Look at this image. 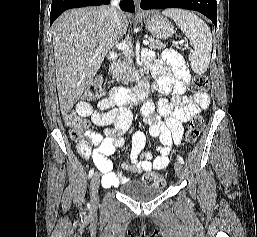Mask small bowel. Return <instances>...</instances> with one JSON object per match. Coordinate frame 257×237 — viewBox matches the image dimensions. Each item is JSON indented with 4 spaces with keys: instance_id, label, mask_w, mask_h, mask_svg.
Here are the masks:
<instances>
[{
    "instance_id": "small-bowel-1",
    "label": "small bowel",
    "mask_w": 257,
    "mask_h": 237,
    "mask_svg": "<svg viewBox=\"0 0 257 237\" xmlns=\"http://www.w3.org/2000/svg\"><path fill=\"white\" fill-rule=\"evenodd\" d=\"M150 71L156 77L154 89L162 94L172 93L170 98H160L157 104L152 100H146L141 107V114L149 127L150 136L159 141L156 149L158 155L155 158L151 153L144 152L146 137L143 132L136 131L131 139L130 163L124 164L122 170L113 172V163L109 156L125 144L122 135L131 125V110L124 105L116 104L108 97L98 102L97 110L83 100L76 105V111L80 116L89 117L94 125L105 127V137L92 131L87 133L92 145L86 141L77 143L79 154L91 159L102 173L105 187H117L126 182V172L136 174L166 168L171 150L181 144L183 124L210 104V98L206 93L185 95L190 73L176 51L166 50L162 60L151 63Z\"/></svg>"
}]
</instances>
